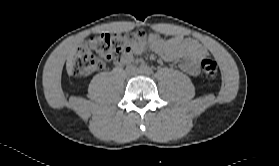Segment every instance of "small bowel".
I'll use <instances>...</instances> for the list:
<instances>
[{"mask_svg": "<svg viewBox=\"0 0 279 166\" xmlns=\"http://www.w3.org/2000/svg\"><path fill=\"white\" fill-rule=\"evenodd\" d=\"M152 50L167 62L183 59L181 69L189 75L199 73V61L206 55V49L196 40L176 35L171 39H159L157 35L150 34L146 41L134 45L131 51L120 60V64H129L134 56Z\"/></svg>", "mask_w": 279, "mask_h": 166, "instance_id": "obj_1", "label": "small bowel"}]
</instances>
